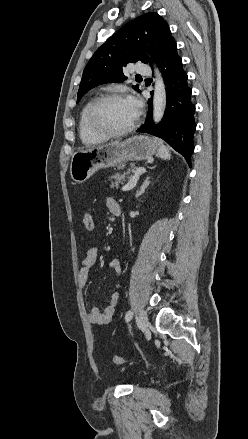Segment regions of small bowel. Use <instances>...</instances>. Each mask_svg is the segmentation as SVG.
Here are the masks:
<instances>
[{
    "label": "small bowel",
    "mask_w": 248,
    "mask_h": 439,
    "mask_svg": "<svg viewBox=\"0 0 248 439\" xmlns=\"http://www.w3.org/2000/svg\"><path fill=\"white\" fill-rule=\"evenodd\" d=\"M107 207L109 211L114 214V211L117 208H120V205L114 198L110 197L107 200ZM97 259H98V248L96 246H91L86 253V256L82 262V266L78 274L79 285L81 288L83 289L86 288L89 280L90 270L95 265ZM108 268L109 270L114 271L117 274H120L121 273L120 260L119 259L110 260L108 263ZM118 299H119V294L117 291H114L109 295V304L108 306H106L104 310H102L98 306L93 307L88 314L89 322L99 326H104L109 324L114 314L115 306L117 305Z\"/></svg>",
    "instance_id": "obj_1"
}]
</instances>
